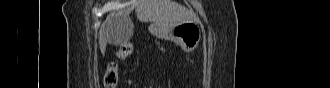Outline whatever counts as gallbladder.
I'll return each instance as SVG.
<instances>
[{
    "label": "gallbladder",
    "instance_id": "obj_1",
    "mask_svg": "<svg viewBox=\"0 0 330 88\" xmlns=\"http://www.w3.org/2000/svg\"><path fill=\"white\" fill-rule=\"evenodd\" d=\"M119 23L114 25V34L117 44H123L127 42L133 35V24L124 21L122 18L119 19Z\"/></svg>",
    "mask_w": 330,
    "mask_h": 88
}]
</instances>
